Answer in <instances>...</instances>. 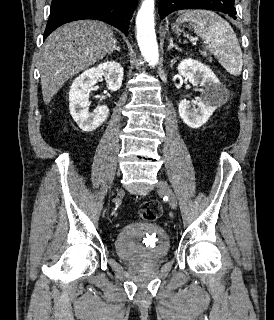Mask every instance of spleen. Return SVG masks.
Wrapping results in <instances>:
<instances>
[{
	"label": "spleen",
	"instance_id": "3e777b00",
	"mask_svg": "<svg viewBox=\"0 0 274 320\" xmlns=\"http://www.w3.org/2000/svg\"><path fill=\"white\" fill-rule=\"evenodd\" d=\"M177 22H191L195 34L208 44L207 50L216 56L226 72L240 76L243 56L237 36L226 20L208 10H185Z\"/></svg>",
	"mask_w": 274,
	"mask_h": 320
}]
</instances>
